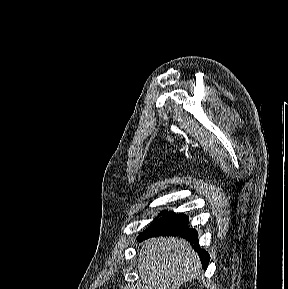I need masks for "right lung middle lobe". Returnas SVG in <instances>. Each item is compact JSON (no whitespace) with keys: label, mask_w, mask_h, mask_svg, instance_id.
Segmentation results:
<instances>
[{"label":"right lung middle lobe","mask_w":288,"mask_h":289,"mask_svg":"<svg viewBox=\"0 0 288 289\" xmlns=\"http://www.w3.org/2000/svg\"><path fill=\"white\" fill-rule=\"evenodd\" d=\"M164 213H165L164 211H163V212H161V215H162V214H164Z\"/></svg>","instance_id":"right-lung-middle-lobe-1"}]
</instances>
